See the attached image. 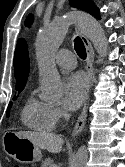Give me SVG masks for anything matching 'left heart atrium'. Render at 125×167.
I'll return each mask as SVG.
<instances>
[{
    "label": "left heart atrium",
    "instance_id": "left-heart-atrium-1",
    "mask_svg": "<svg viewBox=\"0 0 125 167\" xmlns=\"http://www.w3.org/2000/svg\"><path fill=\"white\" fill-rule=\"evenodd\" d=\"M87 88L88 82L82 73L70 74L64 81L63 107L70 111L78 109L85 99Z\"/></svg>",
    "mask_w": 125,
    "mask_h": 167
}]
</instances>
